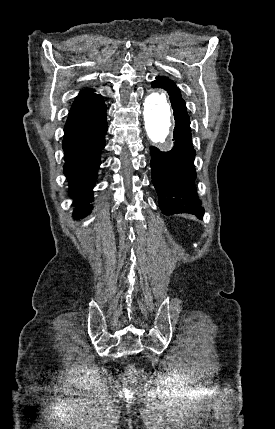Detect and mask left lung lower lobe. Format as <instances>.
Masks as SVG:
<instances>
[{"label":"left lung lower lobe","instance_id":"obj_1","mask_svg":"<svg viewBox=\"0 0 275 429\" xmlns=\"http://www.w3.org/2000/svg\"><path fill=\"white\" fill-rule=\"evenodd\" d=\"M153 88L167 90L174 111L175 128L174 147L162 152L151 147L152 182L159 196V205L163 214L191 213L202 217L204 209L198 199L194 180L195 150L192 145L190 119L186 104L175 83L163 76L156 77Z\"/></svg>","mask_w":275,"mask_h":429}]
</instances>
